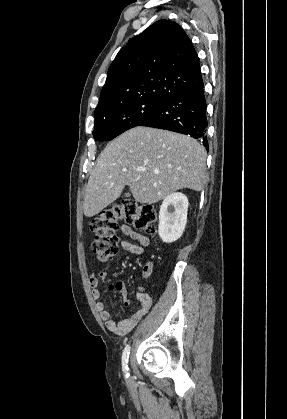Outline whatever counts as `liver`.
<instances>
[{
    "instance_id": "1",
    "label": "liver",
    "mask_w": 287,
    "mask_h": 419,
    "mask_svg": "<svg viewBox=\"0 0 287 419\" xmlns=\"http://www.w3.org/2000/svg\"><path fill=\"white\" fill-rule=\"evenodd\" d=\"M205 183L206 152L195 139L138 126L112 140L98 156L83 211L93 217L114 202L125 186L136 202L153 204L179 189L201 191Z\"/></svg>"
}]
</instances>
